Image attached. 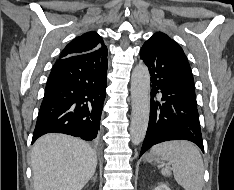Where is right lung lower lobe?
<instances>
[{"label": "right lung lower lobe", "instance_id": "right-lung-lower-lobe-1", "mask_svg": "<svg viewBox=\"0 0 234 190\" xmlns=\"http://www.w3.org/2000/svg\"><path fill=\"white\" fill-rule=\"evenodd\" d=\"M107 51L59 59L48 78L32 143L40 136L65 133L97 140L106 96Z\"/></svg>", "mask_w": 234, "mask_h": 190}]
</instances>
